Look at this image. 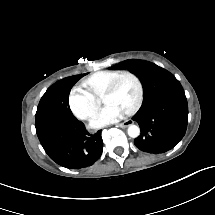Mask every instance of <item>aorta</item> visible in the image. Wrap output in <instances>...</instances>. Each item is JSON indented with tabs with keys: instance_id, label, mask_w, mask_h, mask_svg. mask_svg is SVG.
I'll list each match as a JSON object with an SVG mask.
<instances>
[{
	"instance_id": "obj_1",
	"label": "aorta",
	"mask_w": 215,
	"mask_h": 215,
	"mask_svg": "<svg viewBox=\"0 0 215 215\" xmlns=\"http://www.w3.org/2000/svg\"><path fill=\"white\" fill-rule=\"evenodd\" d=\"M139 134H140V129H139L138 126H136V125H130V126L128 127V135H129L130 137L136 138V137L139 136Z\"/></svg>"
}]
</instances>
